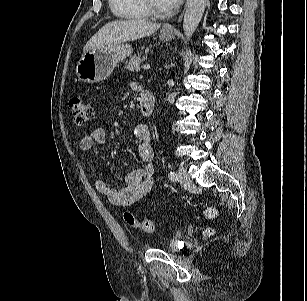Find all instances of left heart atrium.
<instances>
[{"label": "left heart atrium", "instance_id": "left-heart-atrium-1", "mask_svg": "<svg viewBox=\"0 0 307 301\" xmlns=\"http://www.w3.org/2000/svg\"><path fill=\"white\" fill-rule=\"evenodd\" d=\"M159 1L166 8V10H168L176 7L181 0H159Z\"/></svg>", "mask_w": 307, "mask_h": 301}]
</instances>
